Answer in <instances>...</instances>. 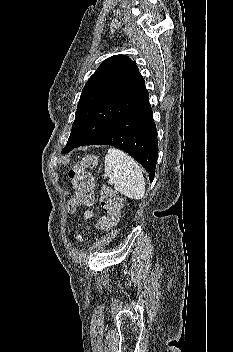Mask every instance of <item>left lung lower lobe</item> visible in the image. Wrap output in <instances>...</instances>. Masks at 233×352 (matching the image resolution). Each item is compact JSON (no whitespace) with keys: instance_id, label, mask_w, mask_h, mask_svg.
Segmentation results:
<instances>
[{"instance_id":"left-lung-lower-lobe-1","label":"left lung lower lobe","mask_w":233,"mask_h":352,"mask_svg":"<svg viewBox=\"0 0 233 352\" xmlns=\"http://www.w3.org/2000/svg\"><path fill=\"white\" fill-rule=\"evenodd\" d=\"M86 145H111L125 151L150 172L149 179L152 181L158 158V142L149 99L123 115L105 133Z\"/></svg>"}]
</instances>
